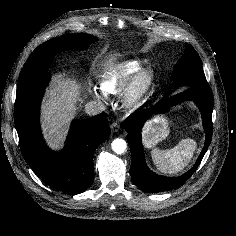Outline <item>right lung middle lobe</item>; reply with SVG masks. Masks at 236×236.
Wrapping results in <instances>:
<instances>
[{"mask_svg": "<svg viewBox=\"0 0 236 236\" xmlns=\"http://www.w3.org/2000/svg\"><path fill=\"white\" fill-rule=\"evenodd\" d=\"M89 34H71L51 39L38 46L27 59L20 72L18 81L28 76L44 72L50 65L53 56L62 50L84 49L90 43L96 41Z\"/></svg>", "mask_w": 236, "mask_h": 236, "instance_id": "obj_1", "label": "right lung middle lobe"}]
</instances>
